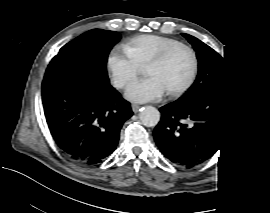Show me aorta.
Masks as SVG:
<instances>
[{
    "mask_svg": "<svg viewBox=\"0 0 270 213\" xmlns=\"http://www.w3.org/2000/svg\"><path fill=\"white\" fill-rule=\"evenodd\" d=\"M140 121L147 127H154L160 120V112L153 106H145L139 113Z\"/></svg>",
    "mask_w": 270,
    "mask_h": 213,
    "instance_id": "obj_1",
    "label": "aorta"
}]
</instances>
